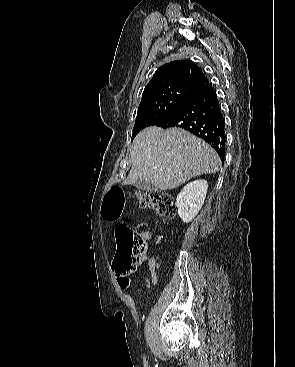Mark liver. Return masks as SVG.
I'll return each mask as SVG.
<instances>
[{
	"mask_svg": "<svg viewBox=\"0 0 295 367\" xmlns=\"http://www.w3.org/2000/svg\"><path fill=\"white\" fill-rule=\"evenodd\" d=\"M131 170L124 184L139 179L160 190H172L192 177L219 171L217 152L204 140L181 128L143 129L134 139Z\"/></svg>",
	"mask_w": 295,
	"mask_h": 367,
	"instance_id": "obj_1",
	"label": "liver"
}]
</instances>
